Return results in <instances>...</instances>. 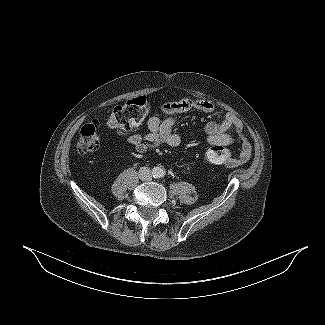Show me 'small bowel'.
<instances>
[{
  "instance_id": "small-bowel-1",
  "label": "small bowel",
  "mask_w": 325,
  "mask_h": 325,
  "mask_svg": "<svg viewBox=\"0 0 325 325\" xmlns=\"http://www.w3.org/2000/svg\"><path fill=\"white\" fill-rule=\"evenodd\" d=\"M215 105L209 101L196 99H182L175 102L165 103L162 107V114L152 116L148 123V133L145 135L139 134V127H134L129 131H116L128 144L133 146L138 154H144L148 150L166 145L169 147H178L182 139L174 132L175 118L177 114L196 110L204 113L215 112ZM233 130L237 134V140L240 144V154L238 159H233L231 165H237L249 160L251 156V146L247 139L242 134V124L240 120L233 114H226L219 121H210L205 126L207 135V143L211 146L223 145L227 146L235 142V139L228 134Z\"/></svg>"
}]
</instances>
